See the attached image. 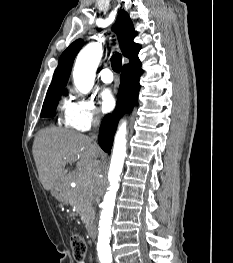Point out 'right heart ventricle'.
Returning <instances> with one entry per match:
<instances>
[{
  "mask_svg": "<svg viewBox=\"0 0 233 263\" xmlns=\"http://www.w3.org/2000/svg\"><path fill=\"white\" fill-rule=\"evenodd\" d=\"M71 108H72V104L64 100L60 109L63 117V122L66 124V126H68V116L71 111Z\"/></svg>",
  "mask_w": 233,
  "mask_h": 263,
  "instance_id": "1",
  "label": "right heart ventricle"
}]
</instances>
